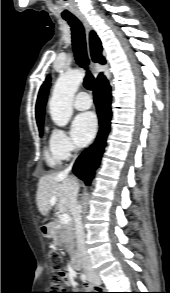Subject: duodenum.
<instances>
[{
  "mask_svg": "<svg viewBox=\"0 0 170 293\" xmlns=\"http://www.w3.org/2000/svg\"><path fill=\"white\" fill-rule=\"evenodd\" d=\"M41 234L44 237L48 238L50 234V228L48 226H42ZM71 263L74 269L76 270L80 269V257H79V253L76 250L74 251Z\"/></svg>",
  "mask_w": 170,
  "mask_h": 293,
  "instance_id": "obj_1",
  "label": "duodenum"
}]
</instances>
